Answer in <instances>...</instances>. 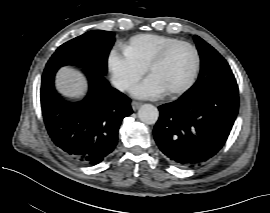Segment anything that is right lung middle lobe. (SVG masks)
<instances>
[{
	"instance_id": "obj_1",
	"label": "right lung middle lobe",
	"mask_w": 270,
	"mask_h": 213,
	"mask_svg": "<svg viewBox=\"0 0 270 213\" xmlns=\"http://www.w3.org/2000/svg\"><path fill=\"white\" fill-rule=\"evenodd\" d=\"M114 41V33L110 31H89L61 45L45 69L75 65L105 75L108 54Z\"/></svg>"
}]
</instances>
